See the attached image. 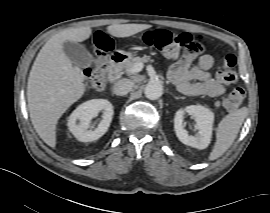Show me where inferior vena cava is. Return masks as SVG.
I'll list each match as a JSON object with an SVG mask.
<instances>
[{"label":"inferior vena cava","instance_id":"inferior-vena-cava-1","mask_svg":"<svg viewBox=\"0 0 270 213\" xmlns=\"http://www.w3.org/2000/svg\"><path fill=\"white\" fill-rule=\"evenodd\" d=\"M133 87V83L128 80V79H121L119 81H117L114 86H113V92L114 94L118 95V96H124L126 95L128 92H130V90Z\"/></svg>","mask_w":270,"mask_h":213}]
</instances>
